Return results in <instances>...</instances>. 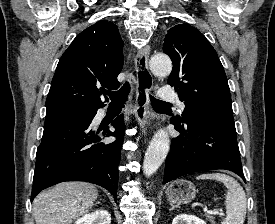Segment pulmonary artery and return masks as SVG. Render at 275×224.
<instances>
[{
	"mask_svg": "<svg viewBox=\"0 0 275 224\" xmlns=\"http://www.w3.org/2000/svg\"><path fill=\"white\" fill-rule=\"evenodd\" d=\"M160 100L166 102H177L181 108H184V103L178 98L176 92L168 87L162 88L158 92Z\"/></svg>",
	"mask_w": 275,
	"mask_h": 224,
	"instance_id": "pulmonary-artery-1",
	"label": "pulmonary artery"
}]
</instances>
